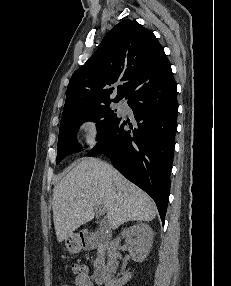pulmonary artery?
Returning <instances> with one entry per match:
<instances>
[{"label":"pulmonary artery","instance_id":"1","mask_svg":"<svg viewBox=\"0 0 231 286\" xmlns=\"http://www.w3.org/2000/svg\"><path fill=\"white\" fill-rule=\"evenodd\" d=\"M117 105H118V106H122V102L119 101V102L117 103Z\"/></svg>","mask_w":231,"mask_h":286}]
</instances>
